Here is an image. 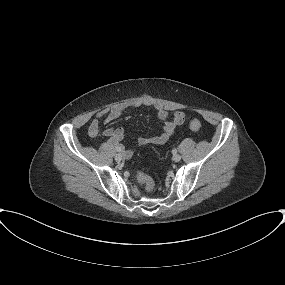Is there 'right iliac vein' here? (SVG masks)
Wrapping results in <instances>:
<instances>
[{
  "label": "right iliac vein",
  "mask_w": 285,
  "mask_h": 285,
  "mask_svg": "<svg viewBox=\"0 0 285 285\" xmlns=\"http://www.w3.org/2000/svg\"><path fill=\"white\" fill-rule=\"evenodd\" d=\"M130 156H128L127 154H126V152H122V154H116L115 155V160L117 161V162H120L122 159H128Z\"/></svg>",
  "instance_id": "63e3f726"
}]
</instances>
